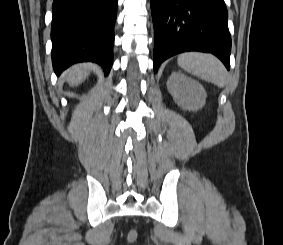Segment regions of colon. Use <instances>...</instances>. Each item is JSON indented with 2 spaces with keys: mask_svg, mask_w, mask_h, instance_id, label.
<instances>
[{
  "mask_svg": "<svg viewBox=\"0 0 283 245\" xmlns=\"http://www.w3.org/2000/svg\"><path fill=\"white\" fill-rule=\"evenodd\" d=\"M137 238H138V232L135 229L130 230L126 236V240L129 243L135 242Z\"/></svg>",
  "mask_w": 283,
  "mask_h": 245,
  "instance_id": "5ec220e1",
  "label": "colon"
}]
</instances>
